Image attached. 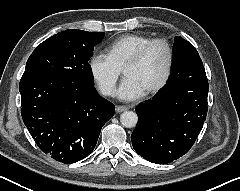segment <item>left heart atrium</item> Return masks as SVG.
I'll return each mask as SVG.
<instances>
[{"label": "left heart atrium", "instance_id": "1", "mask_svg": "<svg viewBox=\"0 0 240 191\" xmlns=\"http://www.w3.org/2000/svg\"><path fill=\"white\" fill-rule=\"evenodd\" d=\"M143 94L144 91L141 86L130 77H125L117 90V96L125 101L135 100Z\"/></svg>", "mask_w": 240, "mask_h": 191}]
</instances>
